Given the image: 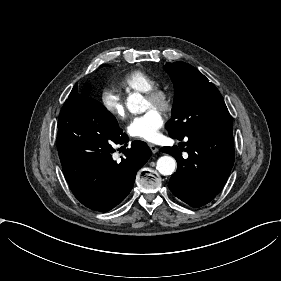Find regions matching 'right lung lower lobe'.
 <instances>
[{
  "label": "right lung lower lobe",
  "mask_w": 281,
  "mask_h": 281,
  "mask_svg": "<svg viewBox=\"0 0 281 281\" xmlns=\"http://www.w3.org/2000/svg\"><path fill=\"white\" fill-rule=\"evenodd\" d=\"M79 93L77 84L58 120L57 149L64 176L75 197L86 207L107 212L130 193L137 171L152 152L142 141L124 147L120 162L113 160L115 144L127 146V135L115 117L98 101Z\"/></svg>",
  "instance_id": "right-lung-lower-lobe-1"
}]
</instances>
